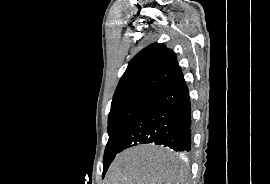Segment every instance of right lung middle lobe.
<instances>
[{"label":"right lung middle lobe","mask_w":270,"mask_h":184,"mask_svg":"<svg viewBox=\"0 0 270 184\" xmlns=\"http://www.w3.org/2000/svg\"><path fill=\"white\" fill-rule=\"evenodd\" d=\"M148 98L149 96L146 95H135L112 102L108 116L109 140L104 152L103 176L116 154L119 153L123 139Z\"/></svg>","instance_id":"1"}]
</instances>
